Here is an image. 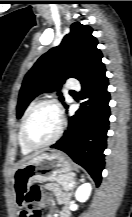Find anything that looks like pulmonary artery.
<instances>
[{
    "label": "pulmonary artery",
    "mask_w": 132,
    "mask_h": 217,
    "mask_svg": "<svg viewBox=\"0 0 132 217\" xmlns=\"http://www.w3.org/2000/svg\"><path fill=\"white\" fill-rule=\"evenodd\" d=\"M69 87H70L71 89H74V90L80 89L79 84L76 83V82H70V83H69Z\"/></svg>",
    "instance_id": "obj_1"
}]
</instances>
